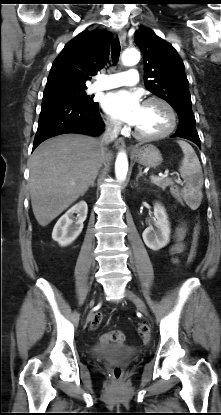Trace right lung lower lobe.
Returning <instances> with one entry per match:
<instances>
[{
    "label": "right lung lower lobe",
    "instance_id": "98d812e1",
    "mask_svg": "<svg viewBox=\"0 0 221 415\" xmlns=\"http://www.w3.org/2000/svg\"><path fill=\"white\" fill-rule=\"evenodd\" d=\"M103 120L98 105H85L68 100H42L33 150L44 140L66 133L98 135Z\"/></svg>",
    "mask_w": 221,
    "mask_h": 415
}]
</instances>
